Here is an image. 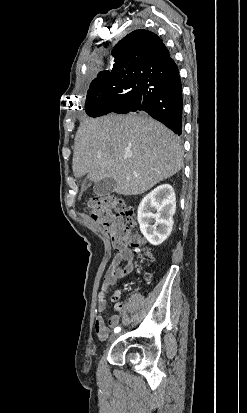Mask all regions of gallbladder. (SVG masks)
Returning a JSON list of instances; mask_svg holds the SVG:
<instances>
[{
  "label": "gallbladder",
  "mask_w": 247,
  "mask_h": 413,
  "mask_svg": "<svg viewBox=\"0 0 247 413\" xmlns=\"http://www.w3.org/2000/svg\"><path fill=\"white\" fill-rule=\"evenodd\" d=\"M115 186L116 180H114L113 176H106V178H102V180L96 182L93 188L97 196H109L111 192H114Z\"/></svg>",
  "instance_id": "obj_1"
}]
</instances>
